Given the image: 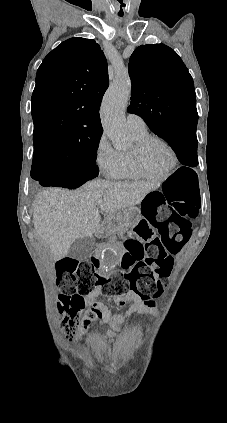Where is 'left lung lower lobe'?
Returning <instances> with one entry per match:
<instances>
[{
  "label": "left lung lower lobe",
  "instance_id": "obj_1",
  "mask_svg": "<svg viewBox=\"0 0 227 423\" xmlns=\"http://www.w3.org/2000/svg\"><path fill=\"white\" fill-rule=\"evenodd\" d=\"M197 143L196 136H187L176 139L169 143V145L175 151L178 160L183 165L195 167L198 165ZM178 174H195V172L190 168L181 167L176 175Z\"/></svg>",
  "mask_w": 227,
  "mask_h": 423
}]
</instances>
